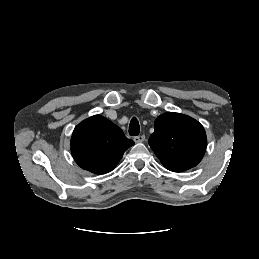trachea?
Here are the masks:
<instances>
[{"label": "trachea", "mask_w": 259, "mask_h": 259, "mask_svg": "<svg viewBox=\"0 0 259 259\" xmlns=\"http://www.w3.org/2000/svg\"><path fill=\"white\" fill-rule=\"evenodd\" d=\"M140 132V125H139V122L138 120L133 117L131 119V122H130V125H129V134L131 136H137Z\"/></svg>", "instance_id": "3493384b"}]
</instances>
